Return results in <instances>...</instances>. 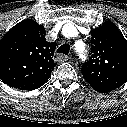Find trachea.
<instances>
[{
    "label": "trachea",
    "instance_id": "trachea-1",
    "mask_svg": "<svg viewBox=\"0 0 127 127\" xmlns=\"http://www.w3.org/2000/svg\"><path fill=\"white\" fill-rule=\"evenodd\" d=\"M70 46L68 44H63L57 49V53L68 55Z\"/></svg>",
    "mask_w": 127,
    "mask_h": 127
}]
</instances>
